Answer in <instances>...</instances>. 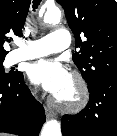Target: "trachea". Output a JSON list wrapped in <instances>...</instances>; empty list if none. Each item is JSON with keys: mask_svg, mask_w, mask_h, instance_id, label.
Instances as JSON below:
<instances>
[{"mask_svg": "<svg viewBox=\"0 0 117 136\" xmlns=\"http://www.w3.org/2000/svg\"><path fill=\"white\" fill-rule=\"evenodd\" d=\"M41 0H33V10L37 9Z\"/></svg>", "mask_w": 117, "mask_h": 136, "instance_id": "1", "label": "trachea"}]
</instances>
